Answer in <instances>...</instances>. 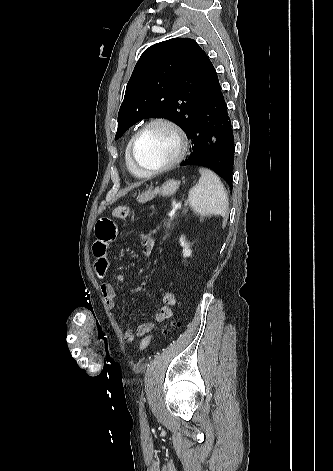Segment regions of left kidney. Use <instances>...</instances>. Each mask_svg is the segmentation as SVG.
I'll return each mask as SVG.
<instances>
[{
    "label": "left kidney",
    "mask_w": 333,
    "mask_h": 471,
    "mask_svg": "<svg viewBox=\"0 0 333 471\" xmlns=\"http://www.w3.org/2000/svg\"><path fill=\"white\" fill-rule=\"evenodd\" d=\"M180 245L183 248L182 253L183 257H190L192 254V250L190 248V244L186 241L185 236H181L179 239Z\"/></svg>",
    "instance_id": "obj_1"
}]
</instances>
